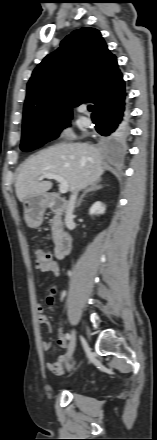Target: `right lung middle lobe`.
<instances>
[{
  "mask_svg": "<svg viewBox=\"0 0 157 440\" xmlns=\"http://www.w3.org/2000/svg\"><path fill=\"white\" fill-rule=\"evenodd\" d=\"M68 120H57L53 122L30 123L22 128V138L20 149L22 151L35 150L46 142H49L58 137L61 130L69 126ZM120 139H115L111 136L105 137L104 141L113 142Z\"/></svg>",
  "mask_w": 157,
  "mask_h": 440,
  "instance_id": "dd1d6c3e",
  "label": "right lung middle lobe"
}]
</instances>
